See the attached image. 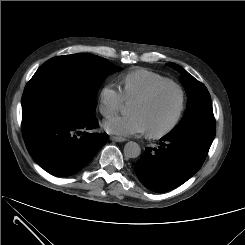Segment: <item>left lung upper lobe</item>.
I'll use <instances>...</instances> for the list:
<instances>
[{"label": "left lung upper lobe", "mask_w": 245, "mask_h": 245, "mask_svg": "<svg viewBox=\"0 0 245 245\" xmlns=\"http://www.w3.org/2000/svg\"><path fill=\"white\" fill-rule=\"evenodd\" d=\"M169 65L181 73L188 100L184 117L167 136L191 137L210 146L215 137L216 125L207 88L181 66L175 63Z\"/></svg>", "instance_id": "5c2ea615"}]
</instances>
